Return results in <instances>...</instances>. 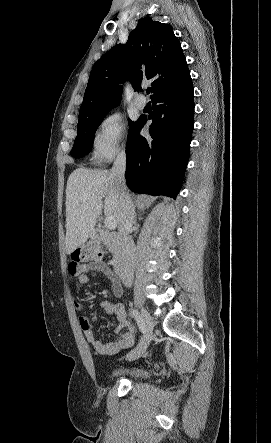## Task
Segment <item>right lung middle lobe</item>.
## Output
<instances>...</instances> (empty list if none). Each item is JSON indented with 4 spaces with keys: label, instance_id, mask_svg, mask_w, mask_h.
I'll return each instance as SVG.
<instances>
[{
    "label": "right lung middle lobe",
    "instance_id": "right-lung-middle-lobe-1",
    "mask_svg": "<svg viewBox=\"0 0 271 443\" xmlns=\"http://www.w3.org/2000/svg\"><path fill=\"white\" fill-rule=\"evenodd\" d=\"M104 117L105 115L79 119L77 125V137L71 150L72 157H83L92 149L94 134ZM133 124L134 122L129 121L130 127Z\"/></svg>",
    "mask_w": 271,
    "mask_h": 443
}]
</instances>
